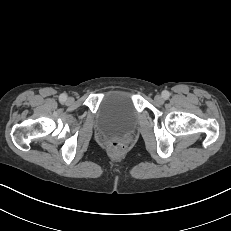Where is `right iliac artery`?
<instances>
[{
  "mask_svg": "<svg viewBox=\"0 0 231 231\" xmlns=\"http://www.w3.org/2000/svg\"><path fill=\"white\" fill-rule=\"evenodd\" d=\"M60 102H65L67 100V95L66 94H61L59 97Z\"/></svg>",
  "mask_w": 231,
  "mask_h": 231,
  "instance_id": "82829eb1",
  "label": "right iliac artery"
}]
</instances>
